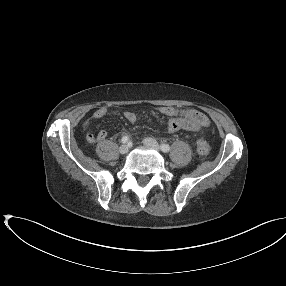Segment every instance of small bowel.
Returning <instances> with one entry per match:
<instances>
[{
	"instance_id": "c3829d8e",
	"label": "small bowel",
	"mask_w": 286,
	"mask_h": 286,
	"mask_svg": "<svg viewBox=\"0 0 286 286\" xmlns=\"http://www.w3.org/2000/svg\"><path fill=\"white\" fill-rule=\"evenodd\" d=\"M160 113L169 118L168 120V131L178 132L181 130L186 131H197L201 128H205L209 125V120L207 116L195 109H176L170 106H163L159 109ZM108 113L106 106L98 107L94 112L92 117L94 119H102ZM125 119L130 123H135L137 121V116L134 112L126 111L124 112ZM90 123L87 121L84 125L87 131V141L90 144L96 141H103L107 137L106 130H100L97 135H94L90 130Z\"/></svg>"
}]
</instances>
